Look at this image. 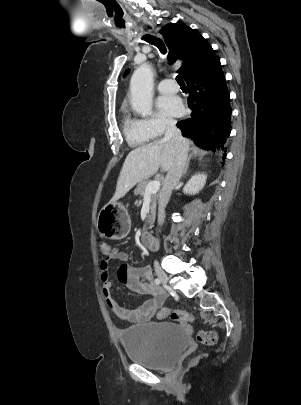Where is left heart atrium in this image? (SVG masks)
I'll list each match as a JSON object with an SVG mask.
<instances>
[{"mask_svg":"<svg viewBox=\"0 0 301 405\" xmlns=\"http://www.w3.org/2000/svg\"><path fill=\"white\" fill-rule=\"evenodd\" d=\"M158 107L167 115L178 117L184 112L182 101L174 95L161 96L157 101Z\"/></svg>","mask_w":301,"mask_h":405,"instance_id":"left-heart-atrium-1","label":"left heart atrium"}]
</instances>
